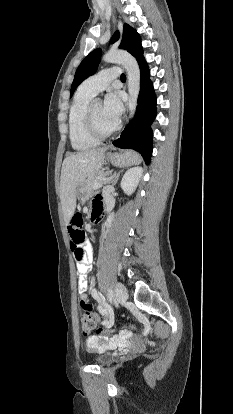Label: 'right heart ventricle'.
<instances>
[{
	"mask_svg": "<svg viewBox=\"0 0 233 414\" xmlns=\"http://www.w3.org/2000/svg\"><path fill=\"white\" fill-rule=\"evenodd\" d=\"M92 97L79 88L69 109V139L72 148L78 151L89 150L99 144V141L90 137L84 128V114Z\"/></svg>",
	"mask_w": 233,
	"mask_h": 414,
	"instance_id": "obj_1",
	"label": "right heart ventricle"
}]
</instances>
